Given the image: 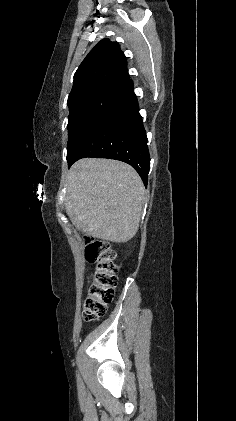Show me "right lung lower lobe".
Listing matches in <instances>:
<instances>
[{
	"mask_svg": "<svg viewBox=\"0 0 236 421\" xmlns=\"http://www.w3.org/2000/svg\"><path fill=\"white\" fill-rule=\"evenodd\" d=\"M122 87L129 96L82 140L69 167L84 157L116 159L134 167L147 185L150 157L132 80L127 79Z\"/></svg>",
	"mask_w": 236,
	"mask_h": 421,
	"instance_id": "98d812e1",
	"label": "right lung lower lobe"
}]
</instances>
